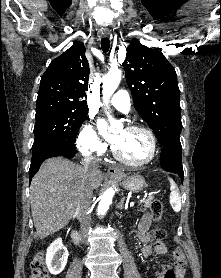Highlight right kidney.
I'll return each instance as SVG.
<instances>
[{"label":"right kidney","instance_id":"right-kidney-1","mask_svg":"<svg viewBox=\"0 0 221 278\" xmlns=\"http://www.w3.org/2000/svg\"><path fill=\"white\" fill-rule=\"evenodd\" d=\"M68 255V250L64 247L61 238L51 243L46 254V265L49 272L53 275L61 273L66 266Z\"/></svg>","mask_w":221,"mask_h":278}]
</instances>
